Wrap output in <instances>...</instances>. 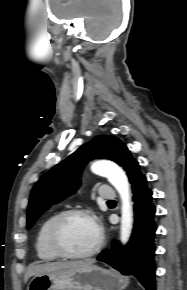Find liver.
I'll list each match as a JSON object with an SVG mask.
<instances>
[{"mask_svg": "<svg viewBox=\"0 0 187 290\" xmlns=\"http://www.w3.org/2000/svg\"><path fill=\"white\" fill-rule=\"evenodd\" d=\"M95 260H85V261H73V262H50V263H43L38 265H31L28 267L27 272L25 274V281L32 276L51 273L55 271H62V270H73L78 268H83L88 265L94 264Z\"/></svg>", "mask_w": 187, "mask_h": 290, "instance_id": "6515ba94", "label": "liver"}]
</instances>
